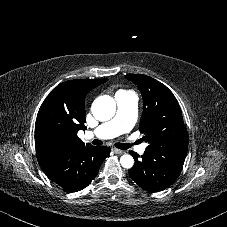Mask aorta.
<instances>
[{"mask_svg":"<svg viewBox=\"0 0 227 227\" xmlns=\"http://www.w3.org/2000/svg\"><path fill=\"white\" fill-rule=\"evenodd\" d=\"M91 111L93 116L99 121L110 120L116 112V103L108 95L100 96L92 103ZM123 168L130 169L134 165V159L131 155L125 154L120 158Z\"/></svg>","mask_w":227,"mask_h":227,"instance_id":"aorta-1","label":"aorta"}]
</instances>
